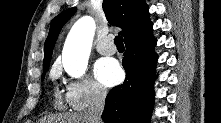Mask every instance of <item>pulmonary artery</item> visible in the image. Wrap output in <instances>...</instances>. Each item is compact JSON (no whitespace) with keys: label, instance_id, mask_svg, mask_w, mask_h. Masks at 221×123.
I'll return each mask as SVG.
<instances>
[{"label":"pulmonary artery","instance_id":"1","mask_svg":"<svg viewBox=\"0 0 221 123\" xmlns=\"http://www.w3.org/2000/svg\"><path fill=\"white\" fill-rule=\"evenodd\" d=\"M97 51L104 55H111L116 52V47L114 46L111 38H105L101 40L97 46Z\"/></svg>","mask_w":221,"mask_h":123}]
</instances>
